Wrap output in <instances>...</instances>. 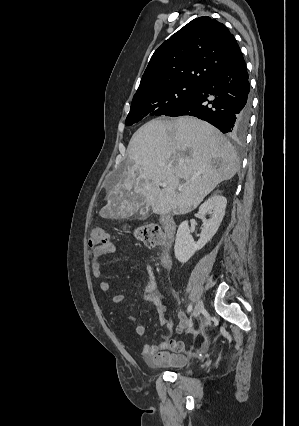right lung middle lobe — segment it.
I'll list each match as a JSON object with an SVG mask.
<instances>
[{
  "label": "right lung middle lobe",
  "instance_id": "dd1d6c3e",
  "mask_svg": "<svg viewBox=\"0 0 299 426\" xmlns=\"http://www.w3.org/2000/svg\"><path fill=\"white\" fill-rule=\"evenodd\" d=\"M199 87L194 84H174L133 99L126 125L130 126L145 116L170 114L191 98Z\"/></svg>",
  "mask_w": 299,
  "mask_h": 426
}]
</instances>
